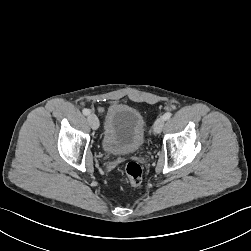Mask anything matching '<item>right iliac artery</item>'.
<instances>
[{
    "instance_id": "obj_1",
    "label": "right iliac artery",
    "mask_w": 251,
    "mask_h": 251,
    "mask_svg": "<svg viewBox=\"0 0 251 251\" xmlns=\"http://www.w3.org/2000/svg\"><path fill=\"white\" fill-rule=\"evenodd\" d=\"M82 112H83V114L86 115V116L90 114V110H89V109H86V108L83 109Z\"/></svg>"
}]
</instances>
